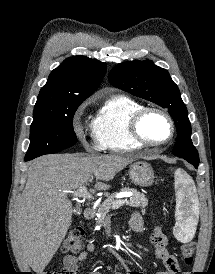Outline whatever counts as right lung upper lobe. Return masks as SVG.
<instances>
[{
	"instance_id": "obj_1",
	"label": "right lung upper lobe",
	"mask_w": 215,
	"mask_h": 274,
	"mask_svg": "<svg viewBox=\"0 0 215 274\" xmlns=\"http://www.w3.org/2000/svg\"><path fill=\"white\" fill-rule=\"evenodd\" d=\"M105 71L106 64L96 59L69 57L51 72L36 103H82L99 87Z\"/></svg>"
}]
</instances>
